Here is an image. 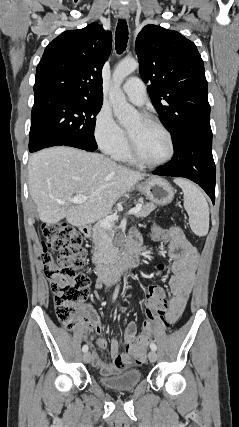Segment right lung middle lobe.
<instances>
[{
	"label": "right lung middle lobe",
	"mask_w": 239,
	"mask_h": 427,
	"mask_svg": "<svg viewBox=\"0 0 239 427\" xmlns=\"http://www.w3.org/2000/svg\"><path fill=\"white\" fill-rule=\"evenodd\" d=\"M102 102L72 98L37 99L31 113L29 150L65 145L93 151L95 116Z\"/></svg>",
	"instance_id": "1"
}]
</instances>
